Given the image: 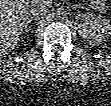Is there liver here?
I'll return each mask as SVG.
<instances>
[{
    "label": "liver",
    "mask_w": 111,
    "mask_h": 106,
    "mask_svg": "<svg viewBox=\"0 0 111 106\" xmlns=\"http://www.w3.org/2000/svg\"><path fill=\"white\" fill-rule=\"evenodd\" d=\"M29 0L0 1V53L7 54L20 40L30 7Z\"/></svg>",
    "instance_id": "6515ba94"
}]
</instances>
